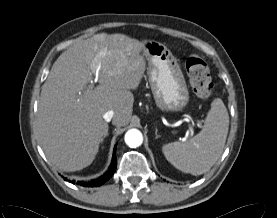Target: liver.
<instances>
[{"label":"liver","mask_w":277,"mask_h":218,"mask_svg":"<svg viewBox=\"0 0 277 218\" xmlns=\"http://www.w3.org/2000/svg\"><path fill=\"white\" fill-rule=\"evenodd\" d=\"M144 43L124 34H96L77 42L54 62L42 86L37 135L48 158L63 171H77L95 159L108 134L103 115L114 111L112 124L130 121L136 89L146 69ZM99 85L88 89L93 70Z\"/></svg>","instance_id":"obj_1"}]
</instances>
